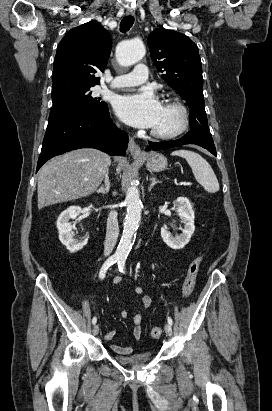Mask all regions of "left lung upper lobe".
I'll list each match as a JSON object with an SVG mask.
<instances>
[{"instance_id":"1","label":"left lung upper lobe","mask_w":272,"mask_h":411,"mask_svg":"<svg viewBox=\"0 0 272 411\" xmlns=\"http://www.w3.org/2000/svg\"><path fill=\"white\" fill-rule=\"evenodd\" d=\"M152 61L164 81L190 108V130L209 129L204 109L202 65L197 45L186 35L157 29L148 37Z\"/></svg>"}]
</instances>
